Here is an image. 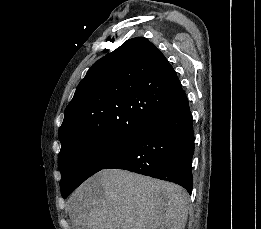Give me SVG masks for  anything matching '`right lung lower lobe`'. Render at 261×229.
Here are the masks:
<instances>
[{
  "label": "right lung lower lobe",
  "instance_id": "obj_1",
  "mask_svg": "<svg viewBox=\"0 0 261 229\" xmlns=\"http://www.w3.org/2000/svg\"><path fill=\"white\" fill-rule=\"evenodd\" d=\"M194 148L193 118L186 94L181 89L129 147L103 169H125L170 181L191 194Z\"/></svg>",
  "mask_w": 261,
  "mask_h": 229
}]
</instances>
